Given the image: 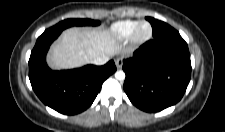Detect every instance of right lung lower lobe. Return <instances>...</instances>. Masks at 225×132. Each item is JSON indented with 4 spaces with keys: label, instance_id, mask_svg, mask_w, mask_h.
Here are the masks:
<instances>
[{
    "label": "right lung lower lobe",
    "instance_id": "right-lung-lower-lobe-1",
    "mask_svg": "<svg viewBox=\"0 0 225 132\" xmlns=\"http://www.w3.org/2000/svg\"><path fill=\"white\" fill-rule=\"evenodd\" d=\"M62 31L47 29L36 41L29 59V79L40 100L67 115L86 110L101 90L102 83L116 71L114 61L104 66L52 71L46 64L50 44Z\"/></svg>",
    "mask_w": 225,
    "mask_h": 132
}]
</instances>
